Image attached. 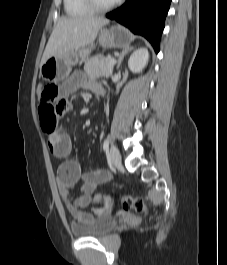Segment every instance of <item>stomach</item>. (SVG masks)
I'll return each mask as SVG.
<instances>
[{
	"label": "stomach",
	"instance_id": "obj_1",
	"mask_svg": "<svg viewBox=\"0 0 227 265\" xmlns=\"http://www.w3.org/2000/svg\"><path fill=\"white\" fill-rule=\"evenodd\" d=\"M98 41L105 48H127L130 45L131 39L129 32L124 27L115 25L109 29H101ZM92 47L91 45L50 57L40 67L41 77L48 82L64 80L69 76L73 66L89 57Z\"/></svg>",
	"mask_w": 227,
	"mask_h": 265
}]
</instances>
